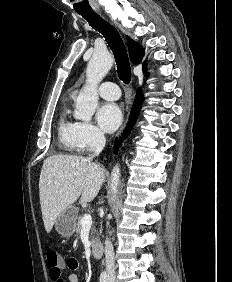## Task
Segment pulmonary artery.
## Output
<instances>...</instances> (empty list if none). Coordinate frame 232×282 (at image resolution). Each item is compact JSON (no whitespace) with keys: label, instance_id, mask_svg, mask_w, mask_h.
Masks as SVG:
<instances>
[{"label":"pulmonary artery","instance_id":"pulmonary-artery-1","mask_svg":"<svg viewBox=\"0 0 232 282\" xmlns=\"http://www.w3.org/2000/svg\"><path fill=\"white\" fill-rule=\"evenodd\" d=\"M99 95L106 100H117L120 97V89L113 82H104L98 88Z\"/></svg>","mask_w":232,"mask_h":282}]
</instances>
